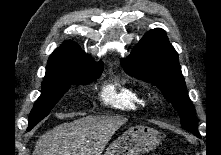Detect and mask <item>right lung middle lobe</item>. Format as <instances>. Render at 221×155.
Returning a JSON list of instances; mask_svg holds the SVG:
<instances>
[{"instance_id":"right-lung-middle-lobe-1","label":"right lung middle lobe","mask_w":221,"mask_h":155,"mask_svg":"<svg viewBox=\"0 0 221 155\" xmlns=\"http://www.w3.org/2000/svg\"><path fill=\"white\" fill-rule=\"evenodd\" d=\"M103 66L97 68L75 69L62 73H47L42 83V94L36 100L29 116L27 130H31L39 121L45 118L55 104L68 91L72 84H89L97 79Z\"/></svg>"}]
</instances>
